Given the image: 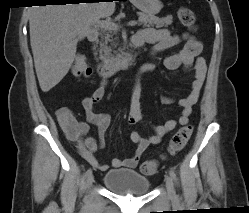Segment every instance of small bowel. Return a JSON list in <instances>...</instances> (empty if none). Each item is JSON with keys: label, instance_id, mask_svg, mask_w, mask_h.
<instances>
[{"label": "small bowel", "instance_id": "obj_1", "mask_svg": "<svg viewBox=\"0 0 249 213\" xmlns=\"http://www.w3.org/2000/svg\"><path fill=\"white\" fill-rule=\"evenodd\" d=\"M183 42V47L175 54L169 55L164 59V66L168 70H176L184 67L193 74L189 94L180 100L182 107L181 115L178 120H167L163 125L152 126L153 134L144 136L138 131H132L130 134L131 141L136 145L134 154L127 159L114 158L111 162L113 168H134L138 164L140 158L152 144H158L163 136L175 129L177 124L186 125L189 122V116L192 107L199 99L200 91L204 84L207 64L206 60L200 56L202 51V43L194 36L183 33L181 35L172 34L168 29L161 28H144L138 31L133 38L135 46L149 44L151 46V55L170 49ZM154 63L149 62L140 67L139 73L151 72L154 69ZM107 81L103 80L101 84L82 101L83 109L87 116V122L78 121L73 116L71 109L62 107L56 111L58 122L70 140L77 142L81 156L100 171H106L108 165L100 163L95 152L105 146L106 132L110 126L111 117L106 113H96L94 106L98 103L106 93ZM169 98H163V103L169 104ZM143 117L140 111L139 97L134 93L131 102V110L127 118L130 125L142 122ZM89 124L95 125L98 131V139L88 136Z\"/></svg>", "mask_w": 249, "mask_h": 213}]
</instances>
